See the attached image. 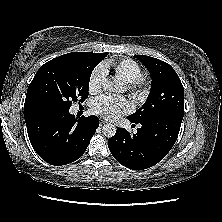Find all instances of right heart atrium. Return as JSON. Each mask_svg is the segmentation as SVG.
Masks as SVG:
<instances>
[{"label": "right heart atrium", "instance_id": "right-heart-atrium-1", "mask_svg": "<svg viewBox=\"0 0 222 222\" xmlns=\"http://www.w3.org/2000/svg\"><path fill=\"white\" fill-rule=\"evenodd\" d=\"M106 78V71L103 66L96 67L90 75L88 88L90 93L99 92Z\"/></svg>", "mask_w": 222, "mask_h": 222}]
</instances>
